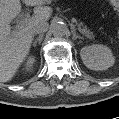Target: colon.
<instances>
[{
	"mask_svg": "<svg viewBox=\"0 0 119 119\" xmlns=\"http://www.w3.org/2000/svg\"><path fill=\"white\" fill-rule=\"evenodd\" d=\"M110 5L112 6V8L115 11H118V9H119V2L117 0H111L110 1Z\"/></svg>",
	"mask_w": 119,
	"mask_h": 119,
	"instance_id": "1",
	"label": "colon"
}]
</instances>
